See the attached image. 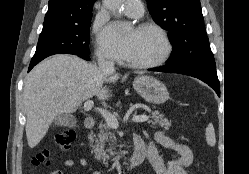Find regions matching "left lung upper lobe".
Here are the masks:
<instances>
[{
  "label": "left lung upper lobe",
  "instance_id": "obj_1",
  "mask_svg": "<svg viewBox=\"0 0 249 174\" xmlns=\"http://www.w3.org/2000/svg\"><path fill=\"white\" fill-rule=\"evenodd\" d=\"M153 20L168 31L173 51L167 66L215 65L200 0H147Z\"/></svg>",
  "mask_w": 249,
  "mask_h": 174
}]
</instances>
